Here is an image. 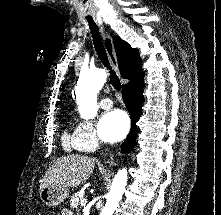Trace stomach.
Listing matches in <instances>:
<instances>
[{
	"instance_id": "obj_1",
	"label": "stomach",
	"mask_w": 221,
	"mask_h": 215,
	"mask_svg": "<svg viewBox=\"0 0 221 215\" xmlns=\"http://www.w3.org/2000/svg\"><path fill=\"white\" fill-rule=\"evenodd\" d=\"M69 196V189L48 186L40 191V199L47 206H57Z\"/></svg>"
}]
</instances>
